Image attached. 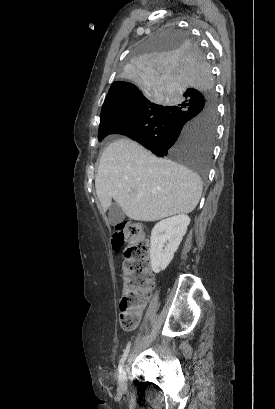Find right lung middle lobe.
<instances>
[{
	"label": "right lung middle lobe",
	"mask_w": 275,
	"mask_h": 409,
	"mask_svg": "<svg viewBox=\"0 0 275 409\" xmlns=\"http://www.w3.org/2000/svg\"><path fill=\"white\" fill-rule=\"evenodd\" d=\"M138 49L127 51L120 70L126 85L146 92L101 112L98 140L126 135L169 162L189 166L206 182L216 107L204 50L175 25L146 36Z\"/></svg>",
	"instance_id": "right-lung-middle-lobe-1"
}]
</instances>
